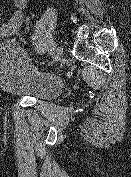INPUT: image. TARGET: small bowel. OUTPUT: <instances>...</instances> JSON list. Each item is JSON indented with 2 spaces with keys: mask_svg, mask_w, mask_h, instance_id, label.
<instances>
[{
  "mask_svg": "<svg viewBox=\"0 0 131 177\" xmlns=\"http://www.w3.org/2000/svg\"><path fill=\"white\" fill-rule=\"evenodd\" d=\"M28 0H13L14 10L7 22L0 25V37H13L14 29H21L26 24V30L29 31L30 19L25 14Z\"/></svg>",
  "mask_w": 131,
  "mask_h": 177,
  "instance_id": "c3829d8e",
  "label": "small bowel"
}]
</instances>
